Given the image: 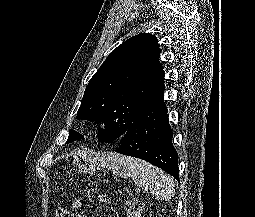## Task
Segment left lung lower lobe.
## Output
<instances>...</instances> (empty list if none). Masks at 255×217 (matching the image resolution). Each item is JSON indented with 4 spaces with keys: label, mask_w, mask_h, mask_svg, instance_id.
<instances>
[{
    "label": "left lung lower lobe",
    "mask_w": 255,
    "mask_h": 217,
    "mask_svg": "<svg viewBox=\"0 0 255 217\" xmlns=\"http://www.w3.org/2000/svg\"><path fill=\"white\" fill-rule=\"evenodd\" d=\"M164 93L129 127L117 153L143 159L173 176L178 182L177 152L172 144Z\"/></svg>",
    "instance_id": "obj_1"
}]
</instances>
